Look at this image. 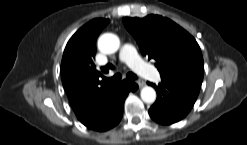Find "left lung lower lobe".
<instances>
[{
	"mask_svg": "<svg viewBox=\"0 0 247 145\" xmlns=\"http://www.w3.org/2000/svg\"><path fill=\"white\" fill-rule=\"evenodd\" d=\"M151 85L157 92V100L149 109V114L159 124L170 125L182 120L198 97L197 92L173 81L162 79L158 86Z\"/></svg>",
	"mask_w": 247,
	"mask_h": 145,
	"instance_id": "0a47b994",
	"label": "left lung lower lobe"
}]
</instances>
